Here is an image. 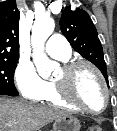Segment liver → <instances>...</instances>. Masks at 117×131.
Masks as SVG:
<instances>
[{
	"instance_id": "1",
	"label": "liver",
	"mask_w": 117,
	"mask_h": 131,
	"mask_svg": "<svg viewBox=\"0 0 117 131\" xmlns=\"http://www.w3.org/2000/svg\"><path fill=\"white\" fill-rule=\"evenodd\" d=\"M67 115V112L58 108L0 97V131H38L53 120Z\"/></svg>"
}]
</instances>
